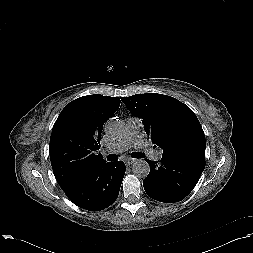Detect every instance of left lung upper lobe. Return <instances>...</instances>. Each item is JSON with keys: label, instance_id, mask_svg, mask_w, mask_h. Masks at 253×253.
<instances>
[{"label": "left lung upper lobe", "instance_id": "1", "mask_svg": "<svg viewBox=\"0 0 253 253\" xmlns=\"http://www.w3.org/2000/svg\"><path fill=\"white\" fill-rule=\"evenodd\" d=\"M133 116L142 119L162 155L193 154L205 157V135L195 113L179 100L156 93L121 97Z\"/></svg>", "mask_w": 253, "mask_h": 253}]
</instances>
